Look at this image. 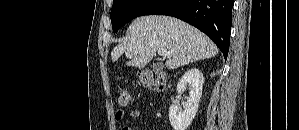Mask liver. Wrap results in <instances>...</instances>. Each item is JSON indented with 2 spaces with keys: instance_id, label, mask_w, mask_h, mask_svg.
<instances>
[{
  "instance_id": "liver-1",
  "label": "liver",
  "mask_w": 299,
  "mask_h": 130,
  "mask_svg": "<svg viewBox=\"0 0 299 130\" xmlns=\"http://www.w3.org/2000/svg\"><path fill=\"white\" fill-rule=\"evenodd\" d=\"M166 49L172 56L166 61L168 69H175L218 54L213 41L197 28L170 16H142L129 26L127 38L111 53L113 62L123 54L129 66L148 64L156 52Z\"/></svg>"
}]
</instances>
